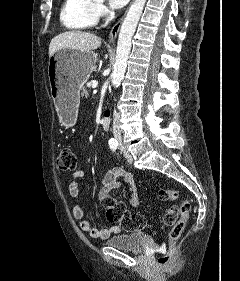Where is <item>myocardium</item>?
Returning a JSON list of instances; mask_svg holds the SVG:
<instances>
[{
	"label": "myocardium",
	"instance_id": "obj_1",
	"mask_svg": "<svg viewBox=\"0 0 240 281\" xmlns=\"http://www.w3.org/2000/svg\"><path fill=\"white\" fill-rule=\"evenodd\" d=\"M94 1H95L96 4L98 3V2H97L98 0H94Z\"/></svg>",
	"mask_w": 240,
	"mask_h": 281
}]
</instances>
